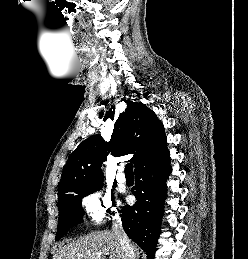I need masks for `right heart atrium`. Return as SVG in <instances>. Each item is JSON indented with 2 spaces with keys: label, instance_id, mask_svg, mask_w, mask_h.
Returning a JSON list of instances; mask_svg holds the SVG:
<instances>
[{
  "label": "right heart atrium",
  "instance_id": "1",
  "mask_svg": "<svg viewBox=\"0 0 248 259\" xmlns=\"http://www.w3.org/2000/svg\"><path fill=\"white\" fill-rule=\"evenodd\" d=\"M82 202L88 216L94 223L102 222L115 211L111 194L100 189L85 195Z\"/></svg>",
  "mask_w": 248,
  "mask_h": 259
}]
</instances>
